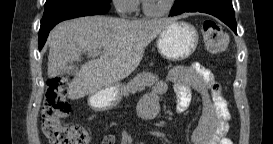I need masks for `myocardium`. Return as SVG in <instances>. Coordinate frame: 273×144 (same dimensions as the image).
Returning a JSON list of instances; mask_svg holds the SVG:
<instances>
[{
    "label": "myocardium",
    "mask_w": 273,
    "mask_h": 144,
    "mask_svg": "<svg viewBox=\"0 0 273 144\" xmlns=\"http://www.w3.org/2000/svg\"><path fill=\"white\" fill-rule=\"evenodd\" d=\"M175 2H176V0H169L163 8H161L159 10H152L147 6L146 2L143 0L142 1V10L147 15L160 16V15H164L166 13H169L172 10V8L174 7Z\"/></svg>",
    "instance_id": "1"
}]
</instances>
